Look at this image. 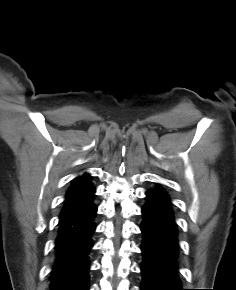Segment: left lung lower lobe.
I'll list each match as a JSON object with an SVG mask.
<instances>
[{
    "instance_id": "1",
    "label": "left lung lower lobe",
    "mask_w": 236,
    "mask_h": 290,
    "mask_svg": "<svg viewBox=\"0 0 236 290\" xmlns=\"http://www.w3.org/2000/svg\"><path fill=\"white\" fill-rule=\"evenodd\" d=\"M142 290H184L178 277L177 226L169 196L157 186L142 207Z\"/></svg>"
}]
</instances>
